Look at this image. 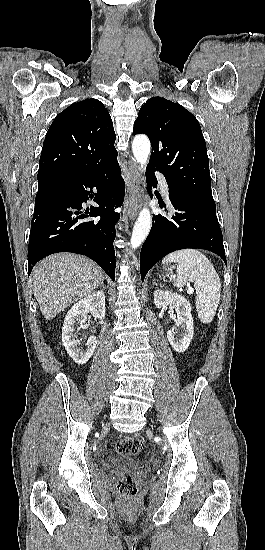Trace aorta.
<instances>
[{
  "label": "aorta",
  "instance_id": "aorta-1",
  "mask_svg": "<svg viewBox=\"0 0 265 550\" xmlns=\"http://www.w3.org/2000/svg\"><path fill=\"white\" fill-rule=\"evenodd\" d=\"M150 141L145 135H138L132 143V151L136 161L145 167L150 154ZM151 214L148 208H143L133 227L130 245L132 249L138 248L146 239L151 228Z\"/></svg>",
  "mask_w": 265,
  "mask_h": 550
}]
</instances>
